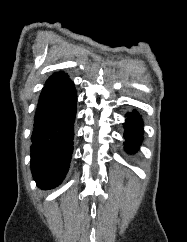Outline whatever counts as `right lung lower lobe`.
I'll return each instance as SVG.
<instances>
[{"instance_id":"1","label":"right lung lower lobe","mask_w":187,"mask_h":242,"mask_svg":"<svg viewBox=\"0 0 187 242\" xmlns=\"http://www.w3.org/2000/svg\"><path fill=\"white\" fill-rule=\"evenodd\" d=\"M77 93L68 76L46 83L39 97L31 137V171L48 190L64 179L72 157Z\"/></svg>"}]
</instances>
